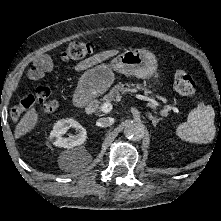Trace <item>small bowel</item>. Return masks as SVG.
Masks as SVG:
<instances>
[{
    "label": "small bowel",
    "mask_w": 221,
    "mask_h": 221,
    "mask_svg": "<svg viewBox=\"0 0 221 221\" xmlns=\"http://www.w3.org/2000/svg\"><path fill=\"white\" fill-rule=\"evenodd\" d=\"M52 71V61L46 55L38 56L34 61V67L31 69L29 76L31 79L43 78Z\"/></svg>",
    "instance_id": "1"
}]
</instances>
